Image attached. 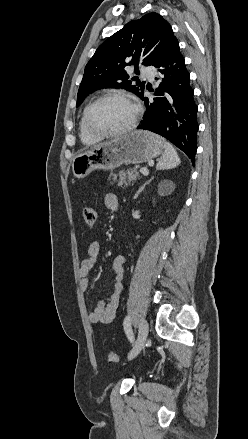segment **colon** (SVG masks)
<instances>
[{"instance_id": "5ec220e1", "label": "colon", "mask_w": 248, "mask_h": 439, "mask_svg": "<svg viewBox=\"0 0 248 439\" xmlns=\"http://www.w3.org/2000/svg\"><path fill=\"white\" fill-rule=\"evenodd\" d=\"M83 219H84V223L87 227L91 228L94 226L95 224V220H96V213L94 208L91 205H86L83 209ZM108 360L110 362H114L117 363L119 362V357L116 353L109 351L107 354Z\"/></svg>"}]
</instances>
